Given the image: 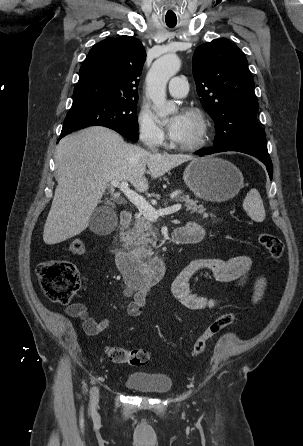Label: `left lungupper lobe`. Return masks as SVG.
Segmentation results:
<instances>
[{
    "instance_id": "1",
    "label": "left lung upper lobe",
    "mask_w": 303,
    "mask_h": 446,
    "mask_svg": "<svg viewBox=\"0 0 303 446\" xmlns=\"http://www.w3.org/2000/svg\"><path fill=\"white\" fill-rule=\"evenodd\" d=\"M193 76L203 107L215 122L214 149L269 155L256 118L254 81L242 51L225 39L202 44L193 55Z\"/></svg>"
}]
</instances>
